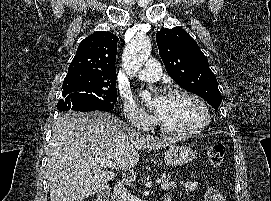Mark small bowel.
I'll return each mask as SVG.
<instances>
[{"label":"small bowel","mask_w":271,"mask_h":201,"mask_svg":"<svg viewBox=\"0 0 271 201\" xmlns=\"http://www.w3.org/2000/svg\"><path fill=\"white\" fill-rule=\"evenodd\" d=\"M181 184L188 192H192L198 187V182L195 180L181 181ZM204 201H224V199L220 192H217L210 186H207L205 188Z\"/></svg>","instance_id":"1"}]
</instances>
